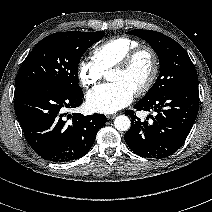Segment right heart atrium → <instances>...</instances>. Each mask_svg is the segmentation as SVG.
Segmentation results:
<instances>
[{"label": "right heart atrium", "mask_w": 212, "mask_h": 212, "mask_svg": "<svg viewBox=\"0 0 212 212\" xmlns=\"http://www.w3.org/2000/svg\"><path fill=\"white\" fill-rule=\"evenodd\" d=\"M104 72L93 59L82 58L77 65L78 80L83 88H89L98 83Z\"/></svg>", "instance_id": "right-heart-atrium-1"}]
</instances>
